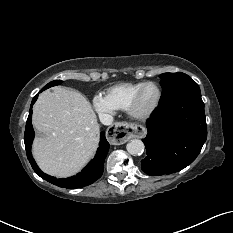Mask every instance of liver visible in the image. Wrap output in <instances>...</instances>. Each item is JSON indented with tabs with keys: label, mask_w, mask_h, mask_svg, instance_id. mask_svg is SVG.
<instances>
[{
	"label": "liver",
	"mask_w": 233,
	"mask_h": 233,
	"mask_svg": "<svg viewBox=\"0 0 233 233\" xmlns=\"http://www.w3.org/2000/svg\"><path fill=\"white\" fill-rule=\"evenodd\" d=\"M32 122L43 134L33 142V156L49 175L65 178L76 174L98 147L96 114L78 91L58 86L41 93Z\"/></svg>",
	"instance_id": "1"
}]
</instances>
